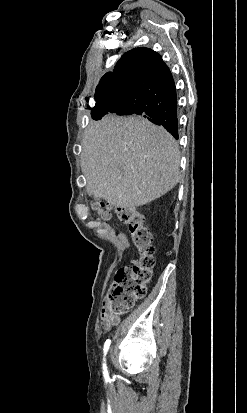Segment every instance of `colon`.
<instances>
[{"label":"colon","mask_w":247,"mask_h":413,"mask_svg":"<svg viewBox=\"0 0 247 413\" xmlns=\"http://www.w3.org/2000/svg\"><path fill=\"white\" fill-rule=\"evenodd\" d=\"M92 209L99 212L104 220L115 211L122 223L126 224L138 250L135 264L121 268L115 275L110 292L112 314H124L147 293V287L154 277L155 257L153 233L147 226L145 217L135 209L115 208L101 200L92 203Z\"/></svg>","instance_id":"obj_1"}]
</instances>
